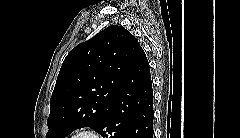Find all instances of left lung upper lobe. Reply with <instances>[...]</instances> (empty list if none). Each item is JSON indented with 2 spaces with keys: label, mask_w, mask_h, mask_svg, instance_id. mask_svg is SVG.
<instances>
[{
  "label": "left lung upper lobe",
  "mask_w": 240,
  "mask_h": 138,
  "mask_svg": "<svg viewBox=\"0 0 240 138\" xmlns=\"http://www.w3.org/2000/svg\"><path fill=\"white\" fill-rule=\"evenodd\" d=\"M141 49L124 27L112 25L65 58L50 99L47 138L82 127L98 129Z\"/></svg>",
  "instance_id": "5c2ea615"
}]
</instances>
